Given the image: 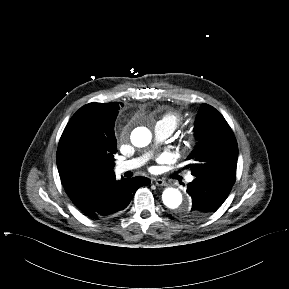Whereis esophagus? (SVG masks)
I'll return each instance as SVG.
<instances>
[{"label": "esophagus", "mask_w": 289, "mask_h": 289, "mask_svg": "<svg viewBox=\"0 0 289 289\" xmlns=\"http://www.w3.org/2000/svg\"><path fill=\"white\" fill-rule=\"evenodd\" d=\"M154 182L158 186H166L167 185L166 181L163 179H160V178H158V179L155 178Z\"/></svg>", "instance_id": "obj_1"}]
</instances>
